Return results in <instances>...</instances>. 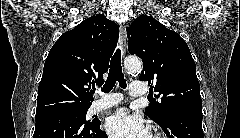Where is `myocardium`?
Here are the masks:
<instances>
[{"label":"myocardium","mask_w":240,"mask_h":138,"mask_svg":"<svg viewBox=\"0 0 240 138\" xmlns=\"http://www.w3.org/2000/svg\"><path fill=\"white\" fill-rule=\"evenodd\" d=\"M155 138H160L159 136H156Z\"/></svg>","instance_id":"1"}]
</instances>
